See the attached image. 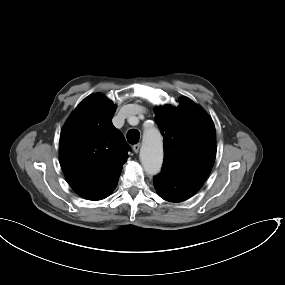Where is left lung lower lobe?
<instances>
[{
    "instance_id": "obj_1",
    "label": "left lung lower lobe",
    "mask_w": 285,
    "mask_h": 285,
    "mask_svg": "<svg viewBox=\"0 0 285 285\" xmlns=\"http://www.w3.org/2000/svg\"><path fill=\"white\" fill-rule=\"evenodd\" d=\"M154 186L158 195L170 202H182L200 190L202 184L181 178L166 171L154 177Z\"/></svg>"
}]
</instances>
